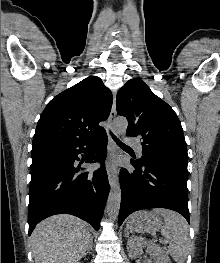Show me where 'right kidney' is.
I'll return each mask as SVG.
<instances>
[{"mask_svg": "<svg viewBox=\"0 0 220 263\" xmlns=\"http://www.w3.org/2000/svg\"><path fill=\"white\" fill-rule=\"evenodd\" d=\"M75 263H82V262L78 261V262H75Z\"/></svg>", "mask_w": 220, "mask_h": 263, "instance_id": "ca27d5eb", "label": "right kidney"}]
</instances>
